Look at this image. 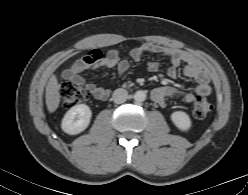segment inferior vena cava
Here are the masks:
<instances>
[{
    "label": "inferior vena cava",
    "instance_id": "602c4592",
    "mask_svg": "<svg viewBox=\"0 0 248 195\" xmlns=\"http://www.w3.org/2000/svg\"><path fill=\"white\" fill-rule=\"evenodd\" d=\"M127 98H128V92L122 88L116 89L112 95V99L116 104L124 103L127 100Z\"/></svg>",
    "mask_w": 248,
    "mask_h": 195
}]
</instances>
